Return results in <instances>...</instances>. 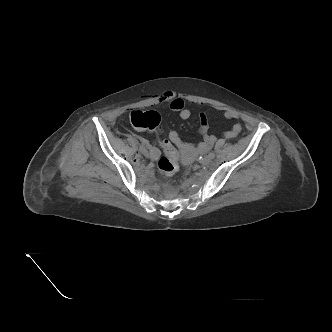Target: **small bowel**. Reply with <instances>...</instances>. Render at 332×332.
<instances>
[{
    "label": "small bowel",
    "mask_w": 332,
    "mask_h": 332,
    "mask_svg": "<svg viewBox=\"0 0 332 332\" xmlns=\"http://www.w3.org/2000/svg\"><path fill=\"white\" fill-rule=\"evenodd\" d=\"M161 101L169 102V107L172 111L176 112L180 119L187 120L191 116V111L186 107L185 101L182 97L176 95L173 92H165L162 97ZM214 109L222 112L223 116L227 120L237 119L239 118V114L237 111L227 108V107H221V106H215ZM200 118V127L199 132L203 137V140L196 146L185 143L180 134L176 131H171L169 133V141L172 142L174 145H176L180 150H182L184 153H191L193 151H206L212 147L214 142L216 141V137L214 135H211L208 133L209 130V123L207 115L202 112L199 116ZM242 127L240 124L236 123L234 124L231 129L224 133L225 138H235L239 135L241 132ZM149 151L147 152V155L150 158H157L159 155V150L154 146H149Z\"/></svg>",
    "instance_id": "small-bowel-1"
}]
</instances>
